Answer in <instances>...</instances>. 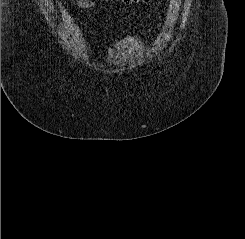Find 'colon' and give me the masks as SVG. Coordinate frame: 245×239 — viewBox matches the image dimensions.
Listing matches in <instances>:
<instances>
[{
    "label": "colon",
    "instance_id": "colon-1",
    "mask_svg": "<svg viewBox=\"0 0 245 239\" xmlns=\"http://www.w3.org/2000/svg\"><path fill=\"white\" fill-rule=\"evenodd\" d=\"M123 3L125 4H133V3H138V2H144V3H147V2H150L152 0H121Z\"/></svg>",
    "mask_w": 245,
    "mask_h": 239
}]
</instances>
